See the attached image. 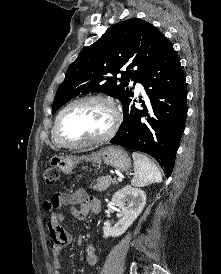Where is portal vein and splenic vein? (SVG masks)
<instances>
[{
    "label": "portal vein and splenic vein",
    "instance_id": "obj_1",
    "mask_svg": "<svg viewBox=\"0 0 221 274\" xmlns=\"http://www.w3.org/2000/svg\"><path fill=\"white\" fill-rule=\"evenodd\" d=\"M118 181H120V182H121V181H122V177H118Z\"/></svg>",
    "mask_w": 221,
    "mask_h": 274
}]
</instances>
